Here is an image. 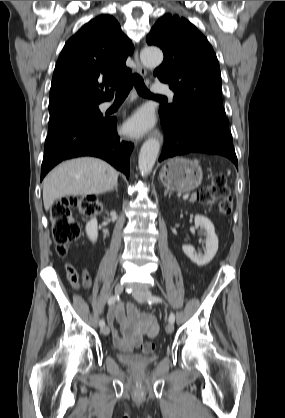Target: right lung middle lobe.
<instances>
[{
    "label": "right lung middle lobe",
    "mask_w": 285,
    "mask_h": 418,
    "mask_svg": "<svg viewBox=\"0 0 285 418\" xmlns=\"http://www.w3.org/2000/svg\"><path fill=\"white\" fill-rule=\"evenodd\" d=\"M49 113V134L72 124L105 119L99 111L98 104L92 102L77 101L51 106Z\"/></svg>",
    "instance_id": "obj_1"
}]
</instances>
